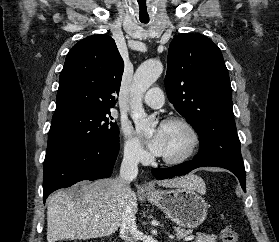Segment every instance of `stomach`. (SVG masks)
I'll return each instance as SVG.
<instances>
[{
    "mask_svg": "<svg viewBox=\"0 0 279 242\" xmlns=\"http://www.w3.org/2000/svg\"><path fill=\"white\" fill-rule=\"evenodd\" d=\"M148 200L160 208L177 225L196 228L207 216V203L197 190L188 187L156 190L146 194Z\"/></svg>",
    "mask_w": 279,
    "mask_h": 242,
    "instance_id": "1",
    "label": "stomach"
}]
</instances>
